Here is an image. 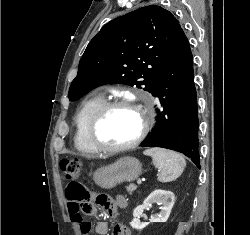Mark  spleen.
<instances>
[{
    "label": "spleen",
    "instance_id": "spleen-1",
    "mask_svg": "<svg viewBox=\"0 0 250 235\" xmlns=\"http://www.w3.org/2000/svg\"><path fill=\"white\" fill-rule=\"evenodd\" d=\"M143 154L152 157L153 164L159 169L160 182H171L177 179L186 166L185 159L171 150L154 147L145 150Z\"/></svg>",
    "mask_w": 250,
    "mask_h": 235
}]
</instances>
